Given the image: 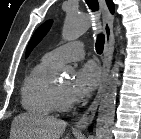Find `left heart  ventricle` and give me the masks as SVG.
Instances as JSON below:
<instances>
[{"mask_svg":"<svg viewBox=\"0 0 141 139\" xmlns=\"http://www.w3.org/2000/svg\"><path fill=\"white\" fill-rule=\"evenodd\" d=\"M72 84V81L71 80H66V81H63L61 83H58L57 86L59 87V89L63 92V94L69 99V96H68V91H69V88Z\"/></svg>","mask_w":141,"mask_h":139,"instance_id":"obj_1","label":"left heart ventricle"}]
</instances>
